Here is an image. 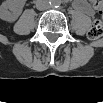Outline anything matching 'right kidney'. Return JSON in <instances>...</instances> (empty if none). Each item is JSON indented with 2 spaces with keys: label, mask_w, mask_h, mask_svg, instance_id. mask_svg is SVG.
<instances>
[{
  "label": "right kidney",
  "mask_w": 103,
  "mask_h": 103,
  "mask_svg": "<svg viewBox=\"0 0 103 103\" xmlns=\"http://www.w3.org/2000/svg\"><path fill=\"white\" fill-rule=\"evenodd\" d=\"M24 3L13 0H6L0 6V18L7 22L17 20L22 12Z\"/></svg>",
  "instance_id": "right-kidney-1"
}]
</instances>
